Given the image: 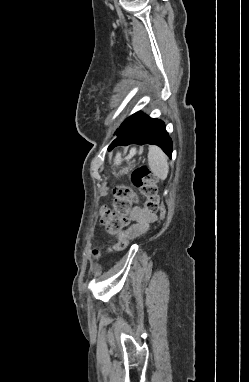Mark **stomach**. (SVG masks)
<instances>
[{
  "label": "stomach",
  "mask_w": 249,
  "mask_h": 382,
  "mask_svg": "<svg viewBox=\"0 0 249 382\" xmlns=\"http://www.w3.org/2000/svg\"><path fill=\"white\" fill-rule=\"evenodd\" d=\"M119 163H120V161H119L117 164H119ZM127 172H128V168H122V169L119 171V173L116 174V175L126 174Z\"/></svg>",
  "instance_id": "obj_1"
}]
</instances>
